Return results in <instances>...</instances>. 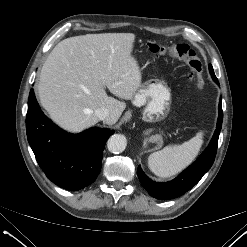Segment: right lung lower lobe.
<instances>
[{
	"instance_id": "98d812e1",
	"label": "right lung lower lobe",
	"mask_w": 247,
	"mask_h": 247,
	"mask_svg": "<svg viewBox=\"0 0 247 247\" xmlns=\"http://www.w3.org/2000/svg\"><path fill=\"white\" fill-rule=\"evenodd\" d=\"M26 132L48 179L70 191H78L95 181L105 143L114 133L105 128H91L77 135L63 131L43 114L33 89L28 99Z\"/></svg>"
}]
</instances>
